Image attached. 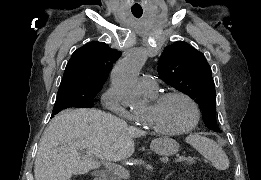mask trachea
I'll return each instance as SVG.
<instances>
[{
	"mask_svg": "<svg viewBox=\"0 0 261 180\" xmlns=\"http://www.w3.org/2000/svg\"><path fill=\"white\" fill-rule=\"evenodd\" d=\"M134 17L140 18L142 16V10H132Z\"/></svg>",
	"mask_w": 261,
	"mask_h": 180,
	"instance_id": "3493384b",
	"label": "trachea"
}]
</instances>
